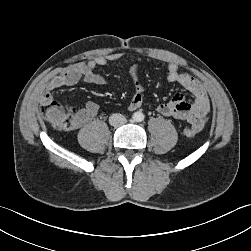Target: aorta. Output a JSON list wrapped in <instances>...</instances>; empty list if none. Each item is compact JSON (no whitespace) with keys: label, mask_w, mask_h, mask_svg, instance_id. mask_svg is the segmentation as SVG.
Here are the masks:
<instances>
[{"label":"aorta","mask_w":251,"mask_h":251,"mask_svg":"<svg viewBox=\"0 0 251 251\" xmlns=\"http://www.w3.org/2000/svg\"><path fill=\"white\" fill-rule=\"evenodd\" d=\"M144 117L145 116L142 112H135L132 118L135 122H142L144 120Z\"/></svg>","instance_id":"aorta-1"}]
</instances>
